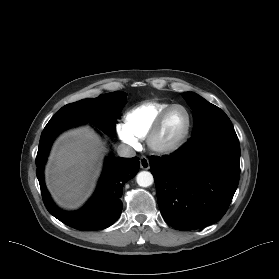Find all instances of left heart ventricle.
Here are the masks:
<instances>
[{
	"label": "left heart ventricle",
	"instance_id": "obj_1",
	"mask_svg": "<svg viewBox=\"0 0 279 279\" xmlns=\"http://www.w3.org/2000/svg\"><path fill=\"white\" fill-rule=\"evenodd\" d=\"M187 124L186 114L182 109H174L166 117L158 134L159 144H170L176 141L184 132Z\"/></svg>",
	"mask_w": 279,
	"mask_h": 279
}]
</instances>
